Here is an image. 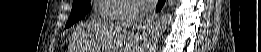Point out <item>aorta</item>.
I'll return each instance as SVG.
<instances>
[{
	"label": "aorta",
	"instance_id": "1",
	"mask_svg": "<svg viewBox=\"0 0 261 52\" xmlns=\"http://www.w3.org/2000/svg\"><path fill=\"white\" fill-rule=\"evenodd\" d=\"M172 18V14L167 13L158 17L153 24L148 27L143 34L145 45L140 49V52H147L154 50L159 38L166 30Z\"/></svg>",
	"mask_w": 261,
	"mask_h": 52
}]
</instances>
